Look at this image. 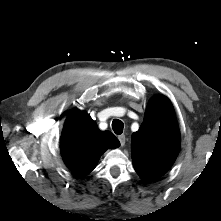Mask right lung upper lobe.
Here are the masks:
<instances>
[{"instance_id": "right-lung-upper-lobe-1", "label": "right lung upper lobe", "mask_w": 221, "mask_h": 221, "mask_svg": "<svg viewBox=\"0 0 221 221\" xmlns=\"http://www.w3.org/2000/svg\"><path fill=\"white\" fill-rule=\"evenodd\" d=\"M119 145V140L110 131H100L85 111L72 109L64 124L60 148L66 166L74 174H89L102 153Z\"/></svg>"}]
</instances>
